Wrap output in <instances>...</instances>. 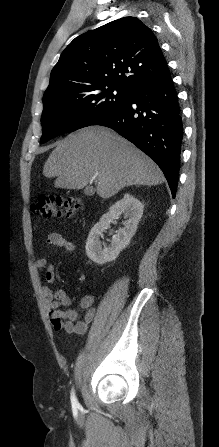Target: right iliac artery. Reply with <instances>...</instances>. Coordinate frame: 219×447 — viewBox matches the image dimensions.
<instances>
[{
    "label": "right iliac artery",
    "mask_w": 219,
    "mask_h": 447,
    "mask_svg": "<svg viewBox=\"0 0 219 447\" xmlns=\"http://www.w3.org/2000/svg\"><path fill=\"white\" fill-rule=\"evenodd\" d=\"M71 403H72V407L77 408L79 406V403H78L73 391L71 393Z\"/></svg>",
    "instance_id": "obj_1"
}]
</instances>
